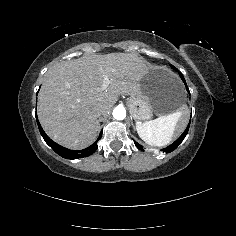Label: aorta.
<instances>
[{
    "instance_id": "obj_1",
    "label": "aorta",
    "mask_w": 236,
    "mask_h": 236,
    "mask_svg": "<svg viewBox=\"0 0 236 236\" xmlns=\"http://www.w3.org/2000/svg\"><path fill=\"white\" fill-rule=\"evenodd\" d=\"M113 117L116 120H123L126 117V111L122 107H116L113 111Z\"/></svg>"
}]
</instances>
